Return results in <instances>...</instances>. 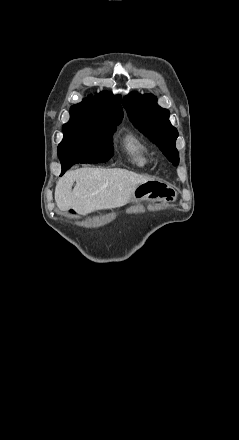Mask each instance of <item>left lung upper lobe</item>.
<instances>
[{"label":"left lung upper lobe","mask_w":239,"mask_h":440,"mask_svg":"<svg viewBox=\"0 0 239 440\" xmlns=\"http://www.w3.org/2000/svg\"><path fill=\"white\" fill-rule=\"evenodd\" d=\"M123 106L134 126L154 142L173 165H178L179 153L175 147L178 131L169 121V111L157 105L156 97L131 92L124 97Z\"/></svg>","instance_id":"1"}]
</instances>
